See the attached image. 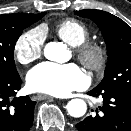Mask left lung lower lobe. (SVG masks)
Returning <instances> with one entry per match:
<instances>
[{
	"label": "left lung lower lobe",
	"instance_id": "obj_1",
	"mask_svg": "<svg viewBox=\"0 0 131 131\" xmlns=\"http://www.w3.org/2000/svg\"><path fill=\"white\" fill-rule=\"evenodd\" d=\"M88 94L102 96L103 105L76 124L78 131H131V91L95 88Z\"/></svg>",
	"mask_w": 131,
	"mask_h": 131
}]
</instances>
